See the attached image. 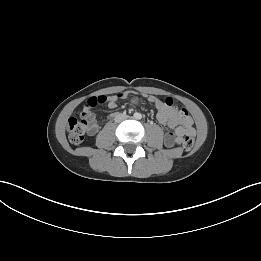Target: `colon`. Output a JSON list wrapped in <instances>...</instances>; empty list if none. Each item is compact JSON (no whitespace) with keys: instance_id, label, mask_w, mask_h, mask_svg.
<instances>
[{"instance_id":"colon-1","label":"colon","mask_w":261,"mask_h":261,"mask_svg":"<svg viewBox=\"0 0 261 261\" xmlns=\"http://www.w3.org/2000/svg\"><path fill=\"white\" fill-rule=\"evenodd\" d=\"M124 97V93H119L115 96L116 99H121ZM106 100V96L93 97L89 99L84 105L81 116L79 118L74 117L69 119L68 137L71 143L80 144L84 140L86 134L90 130V117L88 115L89 110L98 104L105 103ZM177 114L180 119H185L188 117V113L184 109H178ZM182 146L185 151H190L194 146L193 135H187L182 142Z\"/></svg>"}]
</instances>
